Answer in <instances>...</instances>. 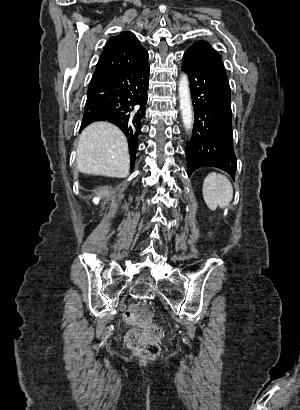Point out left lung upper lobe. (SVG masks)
I'll list each match as a JSON object with an SVG mask.
<instances>
[{"label": "left lung upper lobe", "instance_id": "5c2ea615", "mask_svg": "<svg viewBox=\"0 0 300 410\" xmlns=\"http://www.w3.org/2000/svg\"><path fill=\"white\" fill-rule=\"evenodd\" d=\"M185 53L190 54L204 64L218 67L225 71L221 56L206 41L195 42Z\"/></svg>", "mask_w": 300, "mask_h": 410}]
</instances>
